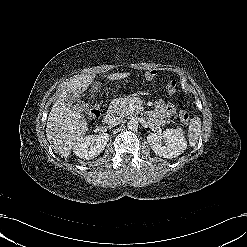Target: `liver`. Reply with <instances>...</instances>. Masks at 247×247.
Listing matches in <instances>:
<instances>
[{
	"mask_svg": "<svg viewBox=\"0 0 247 247\" xmlns=\"http://www.w3.org/2000/svg\"><path fill=\"white\" fill-rule=\"evenodd\" d=\"M130 73H113L107 75L109 80L123 79ZM96 73L76 75L71 77L61 86V91L49 113L46 125L47 138L54 144V149L67 158L71 154L73 145L83 138L88 130V123L84 116L75 109L69 107L65 98L69 93L77 97L82 90L88 88L93 82Z\"/></svg>",
	"mask_w": 247,
	"mask_h": 247,
	"instance_id": "obj_1",
	"label": "liver"
}]
</instances>
